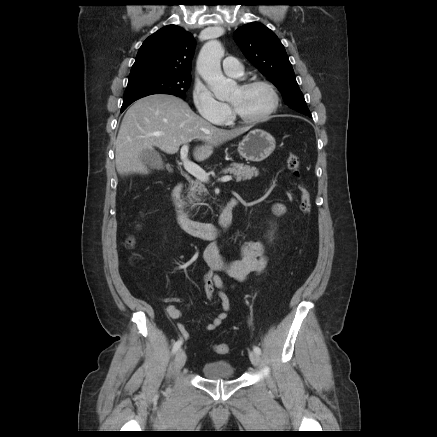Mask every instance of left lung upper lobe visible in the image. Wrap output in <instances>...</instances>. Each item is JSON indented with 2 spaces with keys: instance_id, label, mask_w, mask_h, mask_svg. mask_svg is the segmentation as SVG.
<instances>
[{
  "instance_id": "left-lung-upper-lobe-1",
  "label": "left lung upper lobe",
  "mask_w": 437,
  "mask_h": 437,
  "mask_svg": "<svg viewBox=\"0 0 437 437\" xmlns=\"http://www.w3.org/2000/svg\"><path fill=\"white\" fill-rule=\"evenodd\" d=\"M233 37L245 57L278 88L285 104L312 117L285 48L278 37L257 22L239 27Z\"/></svg>"
}]
</instances>
